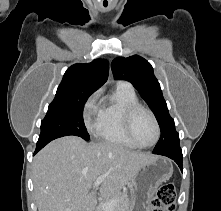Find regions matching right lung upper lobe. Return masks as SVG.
I'll use <instances>...</instances> for the list:
<instances>
[{"label": "right lung upper lobe", "instance_id": "right-lung-upper-lobe-1", "mask_svg": "<svg viewBox=\"0 0 221 211\" xmlns=\"http://www.w3.org/2000/svg\"><path fill=\"white\" fill-rule=\"evenodd\" d=\"M108 72L109 62L105 59H95L86 64H74L65 72L55 98L91 95L106 82Z\"/></svg>", "mask_w": 221, "mask_h": 211}]
</instances>
